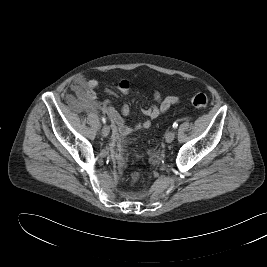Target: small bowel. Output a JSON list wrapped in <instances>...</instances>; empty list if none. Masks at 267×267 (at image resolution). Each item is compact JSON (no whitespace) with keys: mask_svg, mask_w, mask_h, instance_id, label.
Returning <instances> with one entry per match:
<instances>
[{"mask_svg":"<svg viewBox=\"0 0 267 267\" xmlns=\"http://www.w3.org/2000/svg\"><path fill=\"white\" fill-rule=\"evenodd\" d=\"M98 87V81L95 79L85 80L78 77L71 85V91L82 99L84 104L92 109H98L106 114L113 124L114 131L121 135L126 136L133 130L147 129L151 126L152 120L157 119L161 115L165 114L171 106L180 103V98L177 96H163L158 90L153 91V98L156 101V105L142 109V113L147 119L136 123L133 127L127 125L122 115H128L130 108L127 105L122 106L120 109L115 108L109 100L98 102L96 88ZM117 89L123 95H130L131 84L128 80H121L117 84Z\"/></svg>","mask_w":267,"mask_h":267,"instance_id":"obj_1","label":"small bowel"}]
</instances>
